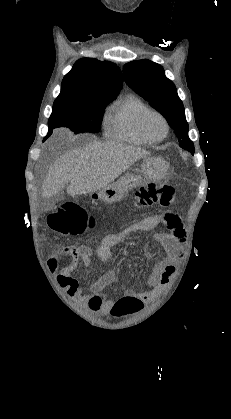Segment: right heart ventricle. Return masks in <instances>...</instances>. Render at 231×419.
<instances>
[{"label":"right heart ventricle","instance_id":"1","mask_svg":"<svg viewBox=\"0 0 231 419\" xmlns=\"http://www.w3.org/2000/svg\"><path fill=\"white\" fill-rule=\"evenodd\" d=\"M150 108L138 97L127 96L110 109L105 122L106 135L116 141L135 145L150 143L139 130L141 116Z\"/></svg>","mask_w":231,"mask_h":419}]
</instances>
